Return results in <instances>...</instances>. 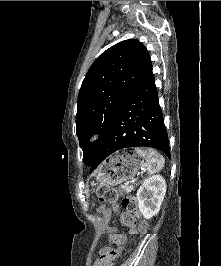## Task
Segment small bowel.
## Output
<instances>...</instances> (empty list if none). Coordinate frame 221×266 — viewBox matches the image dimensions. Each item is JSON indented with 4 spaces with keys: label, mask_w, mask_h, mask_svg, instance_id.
Listing matches in <instances>:
<instances>
[{
    "label": "small bowel",
    "mask_w": 221,
    "mask_h": 266,
    "mask_svg": "<svg viewBox=\"0 0 221 266\" xmlns=\"http://www.w3.org/2000/svg\"><path fill=\"white\" fill-rule=\"evenodd\" d=\"M98 211H99V212H102V211H104V209H103V208H99ZM122 237H123V235H122ZM107 250H108V247H104V248H102V249L100 250V255L103 254V253H104L105 251H107ZM100 255H99V256H100ZM97 260H98V259H97ZM97 260H96V262L94 263L93 266H97Z\"/></svg>",
    "instance_id": "c3829d8e"
}]
</instances>
